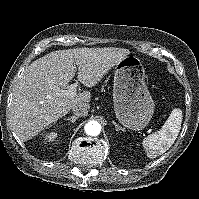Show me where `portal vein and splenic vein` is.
<instances>
[{
	"mask_svg": "<svg viewBox=\"0 0 199 199\" xmlns=\"http://www.w3.org/2000/svg\"><path fill=\"white\" fill-rule=\"evenodd\" d=\"M76 88H77V82L70 85L68 90H61V93L65 96L74 98L77 95Z\"/></svg>",
	"mask_w": 199,
	"mask_h": 199,
	"instance_id": "obj_1",
	"label": "portal vein and splenic vein"
}]
</instances>
